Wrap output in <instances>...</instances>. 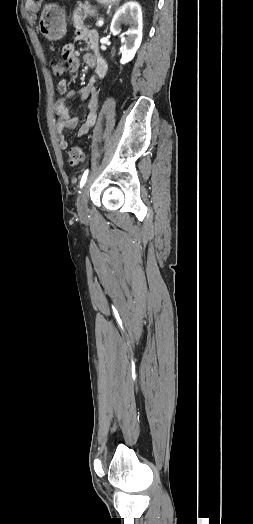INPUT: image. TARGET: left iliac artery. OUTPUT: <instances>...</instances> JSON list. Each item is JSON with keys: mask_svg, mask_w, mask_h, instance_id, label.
I'll return each instance as SVG.
<instances>
[{"mask_svg": "<svg viewBox=\"0 0 253 524\" xmlns=\"http://www.w3.org/2000/svg\"><path fill=\"white\" fill-rule=\"evenodd\" d=\"M88 172L89 170H85L82 178H81V181H80V188H82L84 186V184L86 183V180H87V176H88Z\"/></svg>", "mask_w": 253, "mask_h": 524, "instance_id": "obj_1", "label": "left iliac artery"}]
</instances>
